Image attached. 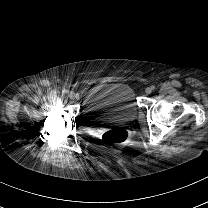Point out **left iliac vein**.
<instances>
[{"mask_svg":"<svg viewBox=\"0 0 208 208\" xmlns=\"http://www.w3.org/2000/svg\"><path fill=\"white\" fill-rule=\"evenodd\" d=\"M146 94H150L152 92V89L150 87H147L145 89Z\"/></svg>","mask_w":208,"mask_h":208,"instance_id":"1","label":"left iliac vein"}]
</instances>
